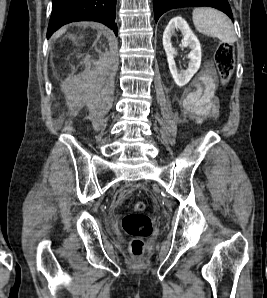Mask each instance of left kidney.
<instances>
[{"label":"left kidney","mask_w":267,"mask_h":298,"mask_svg":"<svg viewBox=\"0 0 267 298\" xmlns=\"http://www.w3.org/2000/svg\"><path fill=\"white\" fill-rule=\"evenodd\" d=\"M176 29L183 35L182 46L191 49V52L188 55V58L190 59L188 68L181 72L178 71L174 60L177 51L171 44V37L174 35ZM163 47L167 55L170 73L176 85L179 87L185 86L200 68L201 46L199 40L182 17H175L168 23L163 33Z\"/></svg>","instance_id":"1"}]
</instances>
